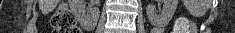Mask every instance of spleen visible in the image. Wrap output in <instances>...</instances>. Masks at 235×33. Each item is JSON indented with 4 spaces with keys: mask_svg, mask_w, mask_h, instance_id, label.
Returning <instances> with one entry per match:
<instances>
[{
    "mask_svg": "<svg viewBox=\"0 0 235 33\" xmlns=\"http://www.w3.org/2000/svg\"><path fill=\"white\" fill-rule=\"evenodd\" d=\"M203 9L206 10L207 9V5L203 6ZM196 13H200L199 11H194L193 14H196Z\"/></svg>",
    "mask_w": 235,
    "mask_h": 33,
    "instance_id": "3e777b00",
    "label": "spleen"
}]
</instances>
